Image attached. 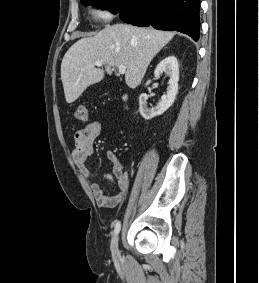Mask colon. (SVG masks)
<instances>
[{"label": "colon", "instance_id": "1", "mask_svg": "<svg viewBox=\"0 0 259 283\" xmlns=\"http://www.w3.org/2000/svg\"><path fill=\"white\" fill-rule=\"evenodd\" d=\"M75 119L84 122L88 119V111L85 105H79L75 111Z\"/></svg>", "mask_w": 259, "mask_h": 283}]
</instances>
